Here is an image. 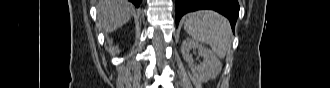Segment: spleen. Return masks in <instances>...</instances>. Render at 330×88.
Returning a JSON list of instances; mask_svg holds the SVG:
<instances>
[{
	"label": "spleen",
	"instance_id": "1",
	"mask_svg": "<svg viewBox=\"0 0 330 88\" xmlns=\"http://www.w3.org/2000/svg\"><path fill=\"white\" fill-rule=\"evenodd\" d=\"M184 28L196 41L208 44L220 58L231 47V27L228 20L211 10H201L184 16Z\"/></svg>",
	"mask_w": 330,
	"mask_h": 88
}]
</instances>
